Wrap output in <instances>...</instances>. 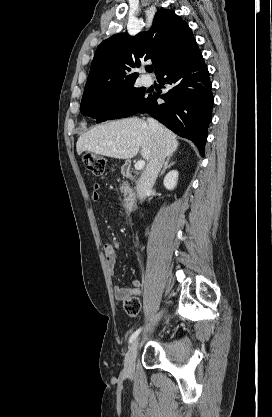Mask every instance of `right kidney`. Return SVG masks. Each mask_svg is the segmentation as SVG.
<instances>
[{
  "label": "right kidney",
  "instance_id": "ca27d5eb",
  "mask_svg": "<svg viewBox=\"0 0 272 417\" xmlns=\"http://www.w3.org/2000/svg\"><path fill=\"white\" fill-rule=\"evenodd\" d=\"M178 181V171L172 170L164 177L163 184L164 187L168 190H173Z\"/></svg>",
  "mask_w": 272,
  "mask_h": 417
}]
</instances>
